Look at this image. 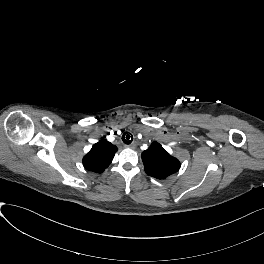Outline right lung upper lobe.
Instances as JSON below:
<instances>
[{"label":"right lung upper lobe","mask_w":264,"mask_h":264,"mask_svg":"<svg viewBox=\"0 0 264 264\" xmlns=\"http://www.w3.org/2000/svg\"><path fill=\"white\" fill-rule=\"evenodd\" d=\"M117 147L106 140L94 144L91 150L84 156V167L96 173H102L112 162Z\"/></svg>","instance_id":"right-lung-upper-lobe-1"}]
</instances>
